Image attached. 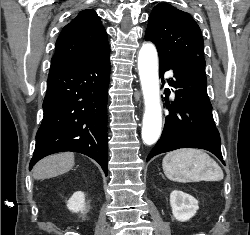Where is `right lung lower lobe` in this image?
Here are the masks:
<instances>
[{"label": "right lung lower lobe", "mask_w": 250, "mask_h": 235, "mask_svg": "<svg viewBox=\"0 0 250 235\" xmlns=\"http://www.w3.org/2000/svg\"><path fill=\"white\" fill-rule=\"evenodd\" d=\"M110 47L70 67L51 70L30 170L45 156L62 151L85 154L107 175V90Z\"/></svg>", "instance_id": "obj_1"}]
</instances>
